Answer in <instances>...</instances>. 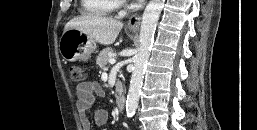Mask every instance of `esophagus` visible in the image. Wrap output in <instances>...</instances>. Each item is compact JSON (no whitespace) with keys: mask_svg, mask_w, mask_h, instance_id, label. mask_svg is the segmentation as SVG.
Returning a JSON list of instances; mask_svg holds the SVG:
<instances>
[{"mask_svg":"<svg viewBox=\"0 0 257 130\" xmlns=\"http://www.w3.org/2000/svg\"><path fill=\"white\" fill-rule=\"evenodd\" d=\"M140 23H141V16L138 15V14H135V15H133V16L129 19L127 25H128V27L131 28V29H138L139 26H140Z\"/></svg>","mask_w":257,"mask_h":130,"instance_id":"1","label":"esophagus"}]
</instances>
